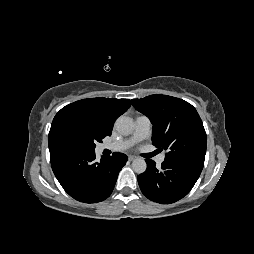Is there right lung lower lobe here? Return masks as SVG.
<instances>
[{
    "instance_id": "98d812e1",
    "label": "right lung lower lobe",
    "mask_w": 254,
    "mask_h": 254,
    "mask_svg": "<svg viewBox=\"0 0 254 254\" xmlns=\"http://www.w3.org/2000/svg\"><path fill=\"white\" fill-rule=\"evenodd\" d=\"M53 172L63 189L84 203L105 200L112 193L127 156L115 152L96 161L95 151L68 146L50 149Z\"/></svg>"
}]
</instances>
